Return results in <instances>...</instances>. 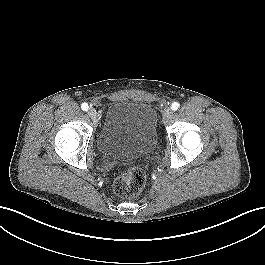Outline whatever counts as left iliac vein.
<instances>
[{"label": "left iliac vein", "instance_id": "left-iliac-vein-1", "mask_svg": "<svg viewBox=\"0 0 265 265\" xmlns=\"http://www.w3.org/2000/svg\"><path fill=\"white\" fill-rule=\"evenodd\" d=\"M172 110L170 108H167L163 113V121L168 122L169 119L172 117Z\"/></svg>", "mask_w": 265, "mask_h": 265}]
</instances>
